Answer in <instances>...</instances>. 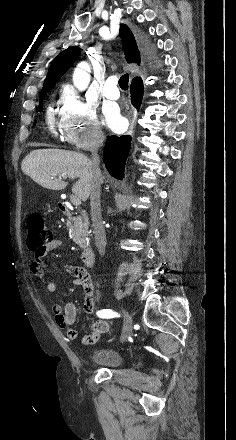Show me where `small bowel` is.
I'll return each mask as SVG.
<instances>
[{
	"mask_svg": "<svg viewBox=\"0 0 236 440\" xmlns=\"http://www.w3.org/2000/svg\"><path fill=\"white\" fill-rule=\"evenodd\" d=\"M59 239H54L44 245L43 247L34 250V259L30 265V270L33 275L38 278H44L46 276V269L43 263L44 257L51 251L58 249L61 246ZM67 272L73 276V285L81 286L84 290V302L83 309L85 313L91 314L94 306V286L87 271L77 266H67ZM47 290L51 293L57 291V284L53 280L47 282ZM51 310L54 315L55 324L65 329L67 337L70 340H75L78 337L77 330L73 327V324L77 316V307L72 301H67L64 305L53 303ZM109 324L104 320L96 321L92 325V332L85 338L87 344L95 343L102 333H108Z\"/></svg>",
	"mask_w": 236,
	"mask_h": 440,
	"instance_id": "1",
	"label": "small bowel"
}]
</instances>
